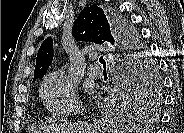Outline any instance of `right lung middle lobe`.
I'll list each match as a JSON object with an SVG mask.
<instances>
[{
  "instance_id": "dd1d6c3e",
  "label": "right lung middle lobe",
  "mask_w": 184,
  "mask_h": 133,
  "mask_svg": "<svg viewBox=\"0 0 184 133\" xmlns=\"http://www.w3.org/2000/svg\"><path fill=\"white\" fill-rule=\"evenodd\" d=\"M122 20L133 39L135 49L131 51L130 75L121 101L126 108L138 110L146 106L153 98L151 95L154 94L155 89H159L160 81L157 65L150 60L147 50L142 47L138 33L127 20L124 18Z\"/></svg>"
}]
</instances>
